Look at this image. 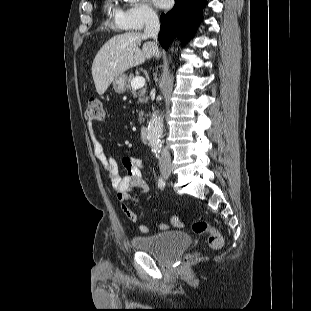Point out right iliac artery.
<instances>
[{
  "instance_id": "right-iliac-artery-1",
  "label": "right iliac artery",
  "mask_w": 311,
  "mask_h": 311,
  "mask_svg": "<svg viewBox=\"0 0 311 311\" xmlns=\"http://www.w3.org/2000/svg\"><path fill=\"white\" fill-rule=\"evenodd\" d=\"M158 187L161 189H164L165 187V180L163 179V177H159L158 179Z\"/></svg>"
}]
</instances>
